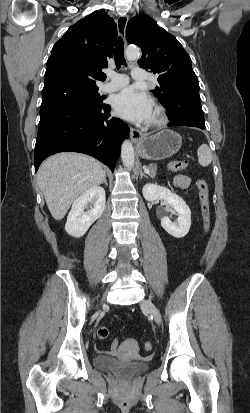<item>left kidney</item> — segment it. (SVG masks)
Returning a JSON list of instances; mask_svg holds the SVG:
<instances>
[{
    "mask_svg": "<svg viewBox=\"0 0 250 413\" xmlns=\"http://www.w3.org/2000/svg\"><path fill=\"white\" fill-rule=\"evenodd\" d=\"M142 192L145 200H164L167 205L178 213L176 222H172L167 216L161 219V226L168 234L175 238H183L187 235L191 226V210L180 196L166 187L152 183L146 184Z\"/></svg>",
    "mask_w": 250,
    "mask_h": 413,
    "instance_id": "obj_1",
    "label": "left kidney"
}]
</instances>
